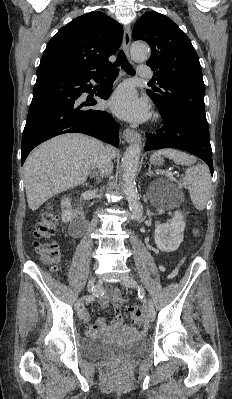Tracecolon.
<instances>
[{
    "instance_id": "colon-1",
    "label": "colon",
    "mask_w": 232,
    "mask_h": 399,
    "mask_svg": "<svg viewBox=\"0 0 232 399\" xmlns=\"http://www.w3.org/2000/svg\"><path fill=\"white\" fill-rule=\"evenodd\" d=\"M48 208H53V203H48ZM62 220V214L58 210H52L49 212L47 218H43V224L37 228V244L35 249H38V253L42 257H47L48 267L52 271H57L61 267V252L60 244H50V235L53 230L58 227ZM202 229L201 225H191L187 229V234L191 238H196L200 234ZM133 324H148V317L146 313H142L141 308H136L135 313L132 314Z\"/></svg>"
}]
</instances>
